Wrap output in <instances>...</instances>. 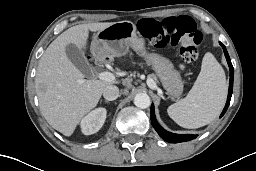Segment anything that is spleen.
Listing matches in <instances>:
<instances>
[{
  "mask_svg": "<svg viewBox=\"0 0 256 171\" xmlns=\"http://www.w3.org/2000/svg\"><path fill=\"white\" fill-rule=\"evenodd\" d=\"M227 83L224 70L211 53L202 60L201 71L188 95L167 109L168 115L184 128H199L211 123L221 113Z\"/></svg>",
  "mask_w": 256,
  "mask_h": 171,
  "instance_id": "obj_1",
  "label": "spleen"
}]
</instances>
